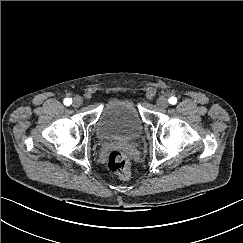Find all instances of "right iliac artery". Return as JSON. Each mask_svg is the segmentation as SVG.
Instances as JSON below:
<instances>
[{"mask_svg":"<svg viewBox=\"0 0 243 243\" xmlns=\"http://www.w3.org/2000/svg\"><path fill=\"white\" fill-rule=\"evenodd\" d=\"M71 103H72L71 98H65V99H64V104H65L66 106H69Z\"/></svg>","mask_w":243,"mask_h":243,"instance_id":"82829eb1","label":"right iliac artery"}]
</instances>
